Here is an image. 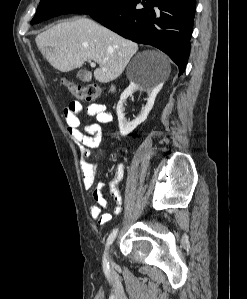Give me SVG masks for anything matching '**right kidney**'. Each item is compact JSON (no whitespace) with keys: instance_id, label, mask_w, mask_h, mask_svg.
Masks as SVG:
<instances>
[{"instance_id":"right-kidney-1","label":"right kidney","mask_w":247,"mask_h":299,"mask_svg":"<svg viewBox=\"0 0 247 299\" xmlns=\"http://www.w3.org/2000/svg\"><path fill=\"white\" fill-rule=\"evenodd\" d=\"M162 88V84H157L154 86H140L138 83H135L133 81L130 82V85L124 90V92L121 94L120 100L117 104V116H118V122H119V129L122 136H127L129 133H131L138 125H140L142 122H144L147 119V116L149 112L151 111L155 98ZM142 89L147 92L148 99L147 103L144 108H142L140 115L133 121H129L125 118L124 114V106L123 103L126 101V99L131 96L135 91Z\"/></svg>"}]
</instances>
